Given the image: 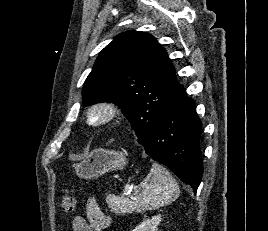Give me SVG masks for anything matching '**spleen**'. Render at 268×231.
Masks as SVG:
<instances>
[{
    "label": "spleen",
    "mask_w": 268,
    "mask_h": 231,
    "mask_svg": "<svg viewBox=\"0 0 268 231\" xmlns=\"http://www.w3.org/2000/svg\"><path fill=\"white\" fill-rule=\"evenodd\" d=\"M180 194L179 185L170 172L153 163L146 178L134 187L132 198L110 194L106 200L115 213L145 212L174 202Z\"/></svg>",
    "instance_id": "1"
}]
</instances>
